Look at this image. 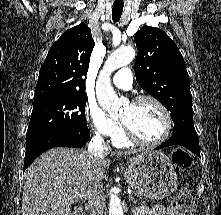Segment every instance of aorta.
Here are the masks:
<instances>
[{
  "label": "aorta",
  "instance_id": "1",
  "mask_svg": "<svg viewBox=\"0 0 221 215\" xmlns=\"http://www.w3.org/2000/svg\"><path fill=\"white\" fill-rule=\"evenodd\" d=\"M135 55V50L132 47L118 49L107 58L100 72L96 95L101 107L110 116L117 115L121 109V102L112 88L110 75L116 69L129 64L135 58ZM109 195V215H123V209L116 190L112 189Z\"/></svg>",
  "mask_w": 221,
  "mask_h": 215
}]
</instances>
